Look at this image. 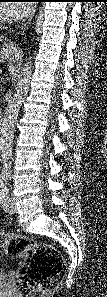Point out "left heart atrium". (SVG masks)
Instances as JSON below:
<instances>
[{
    "label": "left heart atrium",
    "instance_id": "39dd6f15",
    "mask_svg": "<svg viewBox=\"0 0 107 297\" xmlns=\"http://www.w3.org/2000/svg\"><path fill=\"white\" fill-rule=\"evenodd\" d=\"M28 10L29 5L27 3H9L4 8L6 15L14 19L24 16Z\"/></svg>",
    "mask_w": 107,
    "mask_h": 297
}]
</instances>
